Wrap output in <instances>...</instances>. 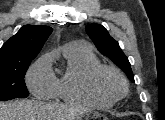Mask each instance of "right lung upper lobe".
Returning <instances> with one entry per match:
<instances>
[{
  "mask_svg": "<svg viewBox=\"0 0 165 120\" xmlns=\"http://www.w3.org/2000/svg\"><path fill=\"white\" fill-rule=\"evenodd\" d=\"M51 33L49 26H23L0 49V62L34 59Z\"/></svg>",
  "mask_w": 165,
  "mask_h": 120,
  "instance_id": "cb5924a9",
  "label": "right lung upper lobe"
}]
</instances>
